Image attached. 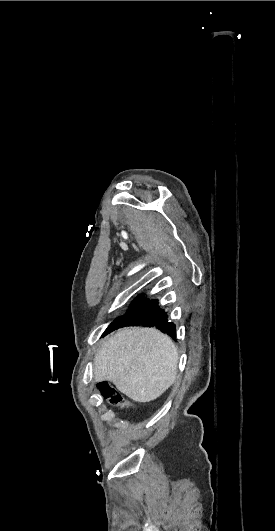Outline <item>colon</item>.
Instances as JSON below:
<instances>
[{"mask_svg": "<svg viewBox=\"0 0 275 531\" xmlns=\"http://www.w3.org/2000/svg\"><path fill=\"white\" fill-rule=\"evenodd\" d=\"M97 389L100 396L107 400L111 405L123 409L131 407V403L106 381L100 382Z\"/></svg>", "mask_w": 275, "mask_h": 531, "instance_id": "5ec220e1", "label": "colon"}]
</instances>
